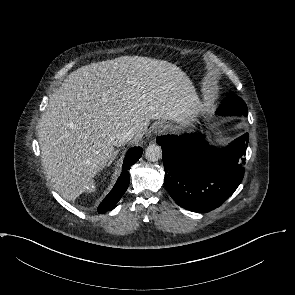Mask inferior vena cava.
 I'll return each instance as SVG.
<instances>
[{
  "label": "inferior vena cava",
  "mask_w": 295,
  "mask_h": 295,
  "mask_svg": "<svg viewBox=\"0 0 295 295\" xmlns=\"http://www.w3.org/2000/svg\"><path fill=\"white\" fill-rule=\"evenodd\" d=\"M136 135V132L132 129L123 131L114 141L115 146H122L132 140Z\"/></svg>",
  "instance_id": "1"
}]
</instances>
